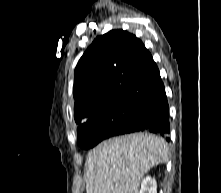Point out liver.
Returning <instances> with one entry per match:
<instances>
[{
  "label": "liver",
  "instance_id": "liver-1",
  "mask_svg": "<svg viewBox=\"0 0 221 193\" xmlns=\"http://www.w3.org/2000/svg\"><path fill=\"white\" fill-rule=\"evenodd\" d=\"M168 161V145L156 135L135 133L110 138L86 160V193H138L144 174Z\"/></svg>",
  "mask_w": 221,
  "mask_h": 193
}]
</instances>
